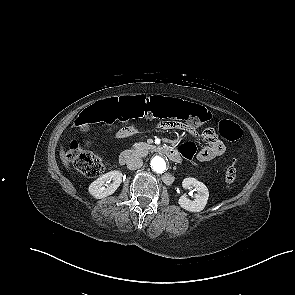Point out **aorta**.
Listing matches in <instances>:
<instances>
[{"mask_svg":"<svg viewBox=\"0 0 295 295\" xmlns=\"http://www.w3.org/2000/svg\"><path fill=\"white\" fill-rule=\"evenodd\" d=\"M151 169L158 173L162 174L167 170L166 160L161 156H154L150 162Z\"/></svg>","mask_w":295,"mask_h":295,"instance_id":"obj_1","label":"aorta"}]
</instances>
